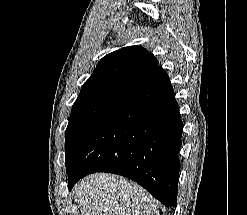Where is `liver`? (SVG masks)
I'll use <instances>...</instances> for the list:
<instances>
[{"label":"liver","mask_w":247,"mask_h":215,"mask_svg":"<svg viewBox=\"0 0 247 215\" xmlns=\"http://www.w3.org/2000/svg\"><path fill=\"white\" fill-rule=\"evenodd\" d=\"M81 215H160L157 204L138 184L96 173L73 189Z\"/></svg>","instance_id":"liver-1"}]
</instances>
